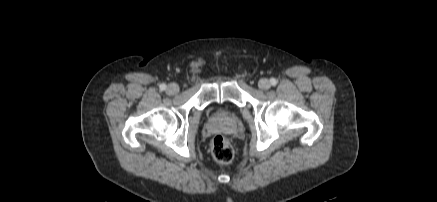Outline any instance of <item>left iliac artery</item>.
<instances>
[{"instance_id": "obj_1", "label": "left iliac artery", "mask_w": 437, "mask_h": 202, "mask_svg": "<svg viewBox=\"0 0 437 202\" xmlns=\"http://www.w3.org/2000/svg\"><path fill=\"white\" fill-rule=\"evenodd\" d=\"M270 83H271L272 85H276V84H277V80H276L275 78H271V79H270Z\"/></svg>"}]
</instances>
